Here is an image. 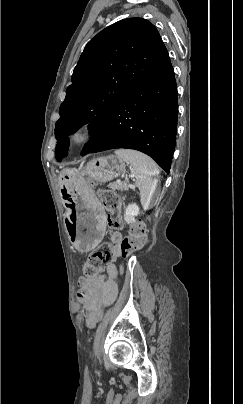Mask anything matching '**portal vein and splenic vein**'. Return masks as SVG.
I'll use <instances>...</instances> for the list:
<instances>
[{"label":"portal vein and splenic vein","instance_id":"portal-vein-and-splenic-vein-1","mask_svg":"<svg viewBox=\"0 0 243 404\" xmlns=\"http://www.w3.org/2000/svg\"><path fill=\"white\" fill-rule=\"evenodd\" d=\"M130 178H131V181H134L135 175H134V174H131V175H130Z\"/></svg>","mask_w":243,"mask_h":404}]
</instances>
